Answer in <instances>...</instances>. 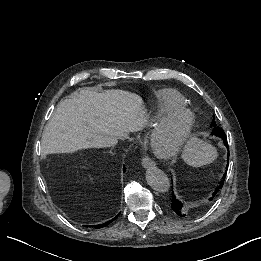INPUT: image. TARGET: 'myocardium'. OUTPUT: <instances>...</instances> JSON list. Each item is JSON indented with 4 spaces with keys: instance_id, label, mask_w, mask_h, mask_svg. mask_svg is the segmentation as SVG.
<instances>
[{
    "instance_id": "f54148a6",
    "label": "myocardium",
    "mask_w": 261,
    "mask_h": 261,
    "mask_svg": "<svg viewBox=\"0 0 261 261\" xmlns=\"http://www.w3.org/2000/svg\"><path fill=\"white\" fill-rule=\"evenodd\" d=\"M173 116H182L185 119L182 137L179 145L169 151H157L153 150L149 144L148 139L152 130L162 121L171 118ZM195 124V115L187 107H173L169 108L161 113L152 115L143 121L141 128V138L145 143L148 152L159 159L170 160L179 157L186 149L189 139L192 134V130Z\"/></svg>"
}]
</instances>
